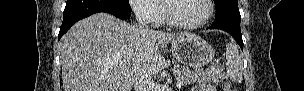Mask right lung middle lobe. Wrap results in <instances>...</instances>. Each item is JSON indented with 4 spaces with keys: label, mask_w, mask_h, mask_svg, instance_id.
Wrapping results in <instances>:
<instances>
[{
    "label": "right lung middle lobe",
    "mask_w": 304,
    "mask_h": 91,
    "mask_svg": "<svg viewBox=\"0 0 304 91\" xmlns=\"http://www.w3.org/2000/svg\"><path fill=\"white\" fill-rule=\"evenodd\" d=\"M113 3L115 6H118L120 8H123V9L131 12V8H130L128 0H113Z\"/></svg>",
    "instance_id": "dd1d6c3e"
}]
</instances>
